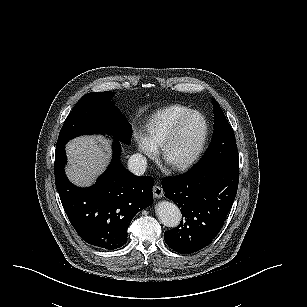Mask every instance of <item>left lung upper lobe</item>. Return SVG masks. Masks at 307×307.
<instances>
[{"label":"left lung upper lobe","mask_w":307,"mask_h":307,"mask_svg":"<svg viewBox=\"0 0 307 307\" xmlns=\"http://www.w3.org/2000/svg\"><path fill=\"white\" fill-rule=\"evenodd\" d=\"M213 103L215 123L212 140L205 155L195 166L220 164L239 167V157L233 130L218 102L213 99Z\"/></svg>","instance_id":"1"}]
</instances>
